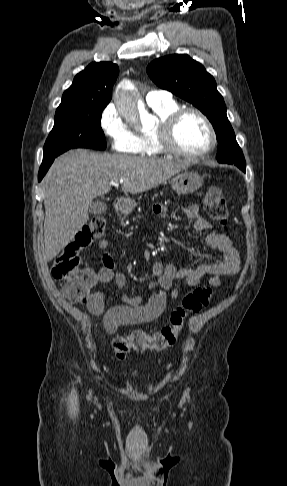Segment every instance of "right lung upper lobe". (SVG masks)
<instances>
[{"label": "right lung upper lobe", "instance_id": "1", "mask_svg": "<svg viewBox=\"0 0 287 486\" xmlns=\"http://www.w3.org/2000/svg\"><path fill=\"white\" fill-rule=\"evenodd\" d=\"M119 68L111 62L89 64L78 73L64 92L60 106L84 103H109Z\"/></svg>", "mask_w": 287, "mask_h": 486}]
</instances>
